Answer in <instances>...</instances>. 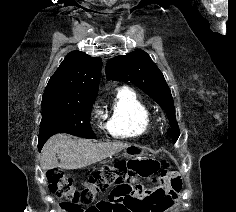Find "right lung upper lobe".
<instances>
[{
  "label": "right lung upper lobe",
  "mask_w": 236,
  "mask_h": 212,
  "mask_svg": "<svg viewBox=\"0 0 236 212\" xmlns=\"http://www.w3.org/2000/svg\"><path fill=\"white\" fill-rule=\"evenodd\" d=\"M102 61L81 51H71L50 78L42 100L95 98Z\"/></svg>",
  "instance_id": "right-lung-upper-lobe-1"
}]
</instances>
